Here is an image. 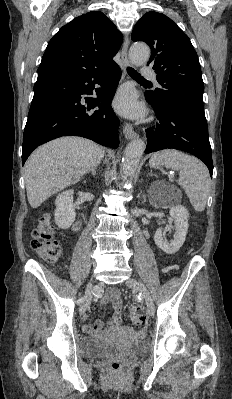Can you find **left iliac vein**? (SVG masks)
<instances>
[{
	"mask_svg": "<svg viewBox=\"0 0 232 399\" xmlns=\"http://www.w3.org/2000/svg\"><path fill=\"white\" fill-rule=\"evenodd\" d=\"M124 285L130 286L131 289H133L134 292H143L144 298H145V303H147V311L149 315L154 314V300H152V296L150 295V292L147 291V289L144 286V283H139V281H135L134 278H129L128 283H125Z\"/></svg>",
	"mask_w": 232,
	"mask_h": 399,
	"instance_id": "1",
	"label": "left iliac vein"
}]
</instances>
